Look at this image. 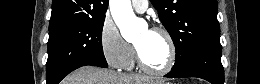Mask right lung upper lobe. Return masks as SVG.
Masks as SVG:
<instances>
[{
  "label": "right lung upper lobe",
  "instance_id": "obj_1",
  "mask_svg": "<svg viewBox=\"0 0 260 84\" xmlns=\"http://www.w3.org/2000/svg\"><path fill=\"white\" fill-rule=\"evenodd\" d=\"M108 0H53L49 30L105 16Z\"/></svg>",
  "mask_w": 260,
  "mask_h": 84
}]
</instances>
